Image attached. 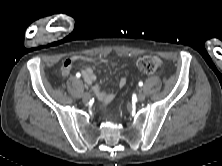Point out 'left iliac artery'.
<instances>
[{
    "instance_id": "obj_1",
    "label": "left iliac artery",
    "mask_w": 222,
    "mask_h": 166,
    "mask_svg": "<svg viewBox=\"0 0 222 166\" xmlns=\"http://www.w3.org/2000/svg\"><path fill=\"white\" fill-rule=\"evenodd\" d=\"M139 86H140V87L143 86V82H139Z\"/></svg>"
}]
</instances>
